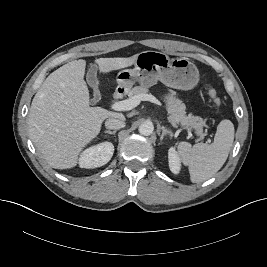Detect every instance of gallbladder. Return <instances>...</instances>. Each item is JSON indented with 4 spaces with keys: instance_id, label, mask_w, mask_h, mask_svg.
I'll return each instance as SVG.
<instances>
[{
    "instance_id": "bac80fb5",
    "label": "gallbladder",
    "mask_w": 267,
    "mask_h": 267,
    "mask_svg": "<svg viewBox=\"0 0 267 267\" xmlns=\"http://www.w3.org/2000/svg\"><path fill=\"white\" fill-rule=\"evenodd\" d=\"M87 82L88 84L93 88L95 92V99L92 101V103H96L100 100L101 95L98 90V78H97V68L96 66H91V68L88 70L87 73Z\"/></svg>"
}]
</instances>
